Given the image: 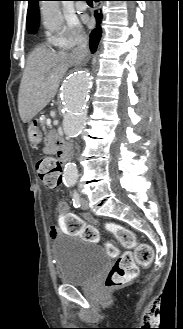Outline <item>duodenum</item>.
<instances>
[{
	"label": "duodenum",
	"instance_id": "duodenum-1",
	"mask_svg": "<svg viewBox=\"0 0 183 329\" xmlns=\"http://www.w3.org/2000/svg\"><path fill=\"white\" fill-rule=\"evenodd\" d=\"M69 149L70 147L66 141H61L60 144L58 145L57 154L59 155V160L62 165L66 163Z\"/></svg>",
	"mask_w": 183,
	"mask_h": 329
}]
</instances>
